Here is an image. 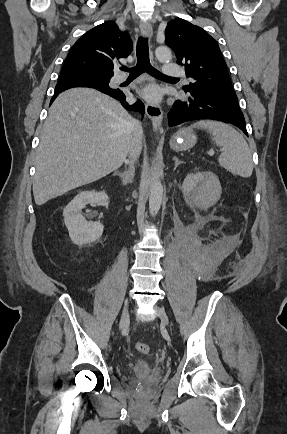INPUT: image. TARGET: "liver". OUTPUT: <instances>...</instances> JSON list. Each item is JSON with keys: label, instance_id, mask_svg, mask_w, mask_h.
Masks as SVG:
<instances>
[{"label": "liver", "instance_id": "6515ba94", "mask_svg": "<svg viewBox=\"0 0 287 434\" xmlns=\"http://www.w3.org/2000/svg\"><path fill=\"white\" fill-rule=\"evenodd\" d=\"M133 120L118 101L94 89L62 92L40 136L33 180L36 205L121 167L131 147Z\"/></svg>", "mask_w": 287, "mask_h": 434}]
</instances>
